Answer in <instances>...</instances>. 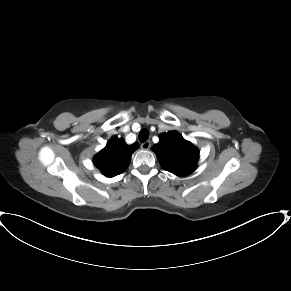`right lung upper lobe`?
<instances>
[{"mask_svg": "<svg viewBox=\"0 0 291 291\" xmlns=\"http://www.w3.org/2000/svg\"><path fill=\"white\" fill-rule=\"evenodd\" d=\"M138 144L127 145L122 138L113 136L106 147L94 156L95 166L107 177L121 174L129 165L131 154Z\"/></svg>", "mask_w": 291, "mask_h": 291, "instance_id": "1", "label": "right lung upper lobe"}]
</instances>
